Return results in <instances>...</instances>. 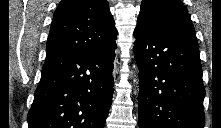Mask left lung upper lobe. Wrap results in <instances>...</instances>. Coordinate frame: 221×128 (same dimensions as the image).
Returning <instances> with one entry per match:
<instances>
[{"label": "left lung upper lobe", "mask_w": 221, "mask_h": 128, "mask_svg": "<svg viewBox=\"0 0 221 128\" xmlns=\"http://www.w3.org/2000/svg\"><path fill=\"white\" fill-rule=\"evenodd\" d=\"M137 25L167 33L198 47L190 15L179 0H142Z\"/></svg>", "instance_id": "left-lung-upper-lobe-1"}]
</instances>
